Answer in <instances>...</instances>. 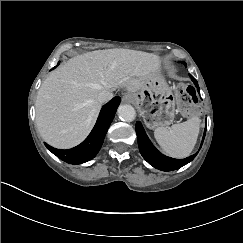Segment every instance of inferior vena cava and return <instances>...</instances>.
Returning <instances> with one entry per match:
<instances>
[{
  "instance_id": "1",
  "label": "inferior vena cava",
  "mask_w": 243,
  "mask_h": 243,
  "mask_svg": "<svg viewBox=\"0 0 243 243\" xmlns=\"http://www.w3.org/2000/svg\"><path fill=\"white\" fill-rule=\"evenodd\" d=\"M113 97V93L109 90H102L98 94V101L99 102H107Z\"/></svg>"
}]
</instances>
